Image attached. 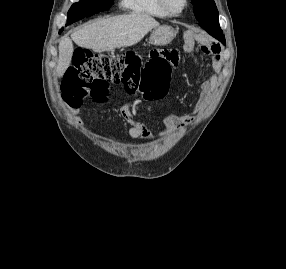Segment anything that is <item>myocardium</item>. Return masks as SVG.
I'll list each match as a JSON object with an SVG mask.
<instances>
[{
	"label": "myocardium",
	"mask_w": 286,
	"mask_h": 269,
	"mask_svg": "<svg viewBox=\"0 0 286 269\" xmlns=\"http://www.w3.org/2000/svg\"><path fill=\"white\" fill-rule=\"evenodd\" d=\"M158 1H159L161 8L163 9V11L168 16H171V17H178V16L182 15L188 6V0H183V6H182L181 10L175 11L170 7L169 0H158Z\"/></svg>",
	"instance_id": "f54148a6"
}]
</instances>
